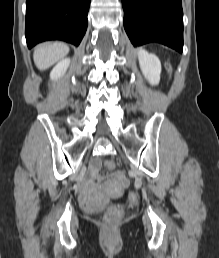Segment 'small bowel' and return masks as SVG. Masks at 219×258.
<instances>
[{"label": "small bowel", "instance_id": "obj_1", "mask_svg": "<svg viewBox=\"0 0 219 258\" xmlns=\"http://www.w3.org/2000/svg\"><path fill=\"white\" fill-rule=\"evenodd\" d=\"M99 169H100V161L94 160L91 165L89 176L87 177V179L83 184V195L86 198L93 195L96 191L94 179L98 175ZM126 175H127L126 171H119L118 174H112L111 178L121 181L122 184H132V179H124Z\"/></svg>", "mask_w": 219, "mask_h": 258}]
</instances>
